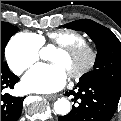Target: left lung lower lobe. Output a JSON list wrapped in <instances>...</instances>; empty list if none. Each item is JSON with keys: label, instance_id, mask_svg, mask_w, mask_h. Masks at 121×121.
<instances>
[{"label": "left lung lower lobe", "instance_id": "obj_1", "mask_svg": "<svg viewBox=\"0 0 121 121\" xmlns=\"http://www.w3.org/2000/svg\"><path fill=\"white\" fill-rule=\"evenodd\" d=\"M77 91L66 92L73 95L79 106L72 107L68 115L60 116L59 121H110L121 96V90L101 81L78 83Z\"/></svg>", "mask_w": 121, "mask_h": 121}]
</instances>
